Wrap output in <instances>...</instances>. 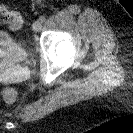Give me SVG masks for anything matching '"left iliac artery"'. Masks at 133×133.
Instances as JSON below:
<instances>
[{
  "mask_svg": "<svg viewBox=\"0 0 133 133\" xmlns=\"http://www.w3.org/2000/svg\"><path fill=\"white\" fill-rule=\"evenodd\" d=\"M39 20L43 23L46 21V17L44 15L39 17Z\"/></svg>",
  "mask_w": 133,
  "mask_h": 133,
  "instance_id": "44dca946",
  "label": "left iliac artery"
}]
</instances>
